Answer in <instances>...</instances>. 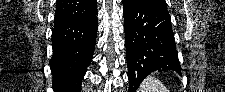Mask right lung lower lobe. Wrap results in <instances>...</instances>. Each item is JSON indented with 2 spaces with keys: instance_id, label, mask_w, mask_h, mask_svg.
<instances>
[{
  "instance_id": "obj_1",
  "label": "right lung lower lobe",
  "mask_w": 225,
  "mask_h": 92,
  "mask_svg": "<svg viewBox=\"0 0 225 92\" xmlns=\"http://www.w3.org/2000/svg\"><path fill=\"white\" fill-rule=\"evenodd\" d=\"M97 34V11L87 17L54 26L50 67L56 92H80Z\"/></svg>"
}]
</instances>
